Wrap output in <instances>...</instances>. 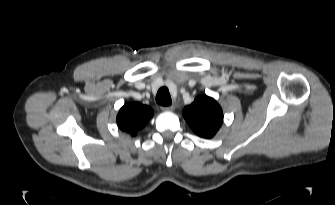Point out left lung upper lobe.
<instances>
[{
  "instance_id": "5c2ea615",
  "label": "left lung upper lobe",
  "mask_w": 335,
  "mask_h": 205,
  "mask_svg": "<svg viewBox=\"0 0 335 205\" xmlns=\"http://www.w3.org/2000/svg\"><path fill=\"white\" fill-rule=\"evenodd\" d=\"M183 116L192 130L203 138H212L223 121L221 107L206 95L198 96L191 105L186 106Z\"/></svg>"
}]
</instances>
